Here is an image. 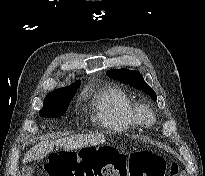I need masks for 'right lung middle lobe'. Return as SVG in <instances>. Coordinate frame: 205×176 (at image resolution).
Instances as JSON below:
<instances>
[{
    "label": "right lung middle lobe",
    "instance_id": "1",
    "mask_svg": "<svg viewBox=\"0 0 205 176\" xmlns=\"http://www.w3.org/2000/svg\"><path fill=\"white\" fill-rule=\"evenodd\" d=\"M76 90L64 91L46 96L44 105L39 111L40 116L47 118H57L64 115L70 104V101L75 95Z\"/></svg>",
    "mask_w": 205,
    "mask_h": 176
}]
</instances>
